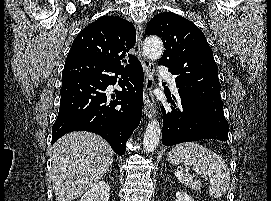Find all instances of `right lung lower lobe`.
<instances>
[{"mask_svg":"<svg viewBox=\"0 0 271 201\" xmlns=\"http://www.w3.org/2000/svg\"><path fill=\"white\" fill-rule=\"evenodd\" d=\"M120 75V78H118ZM110 99L106 89L116 84ZM143 69L140 61L109 65L83 56L67 58L62 73L58 117L52 144L71 131H89L103 137L118 155L138 127L142 116Z\"/></svg>","mask_w":271,"mask_h":201,"instance_id":"1","label":"right lung lower lobe"}]
</instances>
